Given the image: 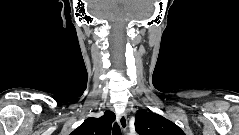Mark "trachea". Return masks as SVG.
I'll list each match as a JSON object with an SVG mask.
<instances>
[{
	"label": "trachea",
	"instance_id": "1",
	"mask_svg": "<svg viewBox=\"0 0 239 135\" xmlns=\"http://www.w3.org/2000/svg\"><path fill=\"white\" fill-rule=\"evenodd\" d=\"M112 134L121 135V129H120V126L117 124V122H115L113 125Z\"/></svg>",
	"mask_w": 239,
	"mask_h": 135
}]
</instances>
